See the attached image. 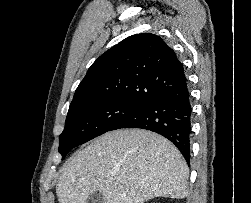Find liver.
I'll use <instances>...</instances> for the list:
<instances>
[{
	"label": "liver",
	"mask_w": 251,
	"mask_h": 203,
	"mask_svg": "<svg viewBox=\"0 0 251 203\" xmlns=\"http://www.w3.org/2000/svg\"><path fill=\"white\" fill-rule=\"evenodd\" d=\"M188 166L166 138L147 130H115L95 139L62 167L59 203H86L93 192L104 203H144L185 198Z\"/></svg>",
	"instance_id": "1"
}]
</instances>
